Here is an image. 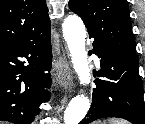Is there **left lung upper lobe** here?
<instances>
[{
	"mask_svg": "<svg viewBox=\"0 0 145 124\" xmlns=\"http://www.w3.org/2000/svg\"><path fill=\"white\" fill-rule=\"evenodd\" d=\"M69 7L82 18L90 38L138 61L126 0H70Z\"/></svg>",
	"mask_w": 145,
	"mask_h": 124,
	"instance_id": "1",
	"label": "left lung upper lobe"
}]
</instances>
